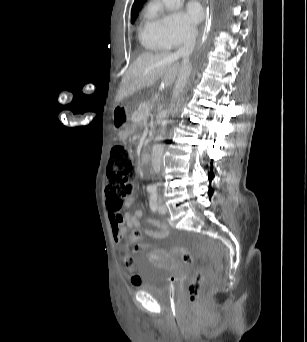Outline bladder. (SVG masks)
Masks as SVG:
<instances>
[{"label": "bladder", "mask_w": 307, "mask_h": 342, "mask_svg": "<svg viewBox=\"0 0 307 342\" xmlns=\"http://www.w3.org/2000/svg\"><path fill=\"white\" fill-rule=\"evenodd\" d=\"M172 278L173 275L169 269L159 265H152L142 274L141 282L137 286L157 298L168 299L175 287Z\"/></svg>", "instance_id": "obj_1"}]
</instances>
